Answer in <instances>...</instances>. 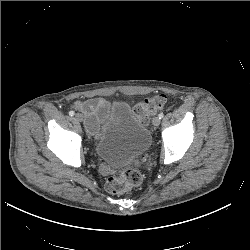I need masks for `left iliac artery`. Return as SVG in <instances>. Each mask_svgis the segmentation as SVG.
<instances>
[{"label":"left iliac artery","mask_w":250,"mask_h":250,"mask_svg":"<svg viewBox=\"0 0 250 250\" xmlns=\"http://www.w3.org/2000/svg\"><path fill=\"white\" fill-rule=\"evenodd\" d=\"M158 116H159L160 119H162L164 117V114L160 113Z\"/></svg>","instance_id":"obj_1"}]
</instances>
